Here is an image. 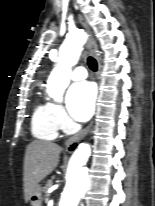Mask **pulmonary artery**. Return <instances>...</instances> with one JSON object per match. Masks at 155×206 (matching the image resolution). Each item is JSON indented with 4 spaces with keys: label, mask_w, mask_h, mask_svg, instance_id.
<instances>
[{
    "label": "pulmonary artery",
    "mask_w": 155,
    "mask_h": 206,
    "mask_svg": "<svg viewBox=\"0 0 155 206\" xmlns=\"http://www.w3.org/2000/svg\"><path fill=\"white\" fill-rule=\"evenodd\" d=\"M86 76H87V72L84 67H77L71 72L70 75L72 80H82L86 78Z\"/></svg>",
    "instance_id": "obj_1"
}]
</instances>
